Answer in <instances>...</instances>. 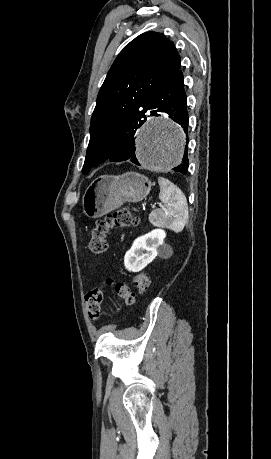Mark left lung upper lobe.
Segmentation results:
<instances>
[{
  "instance_id": "left-lung-upper-lobe-1",
  "label": "left lung upper lobe",
  "mask_w": 271,
  "mask_h": 459,
  "mask_svg": "<svg viewBox=\"0 0 271 459\" xmlns=\"http://www.w3.org/2000/svg\"><path fill=\"white\" fill-rule=\"evenodd\" d=\"M179 69L173 42L160 33H143L120 52L97 97L83 174L112 155L120 132L148 110L151 90Z\"/></svg>"
}]
</instances>
